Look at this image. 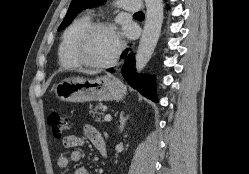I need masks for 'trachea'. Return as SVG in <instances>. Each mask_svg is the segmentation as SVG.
<instances>
[{"mask_svg": "<svg viewBox=\"0 0 249 174\" xmlns=\"http://www.w3.org/2000/svg\"><path fill=\"white\" fill-rule=\"evenodd\" d=\"M136 14H144V13L140 11V12H138V13H136Z\"/></svg>", "mask_w": 249, "mask_h": 174, "instance_id": "obj_1", "label": "trachea"}]
</instances>
